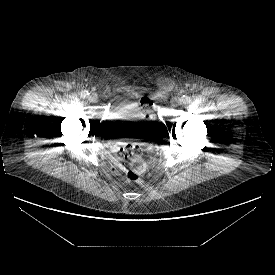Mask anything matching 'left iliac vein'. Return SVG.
Here are the masks:
<instances>
[{
    "instance_id": "1",
    "label": "left iliac vein",
    "mask_w": 275,
    "mask_h": 275,
    "mask_svg": "<svg viewBox=\"0 0 275 275\" xmlns=\"http://www.w3.org/2000/svg\"><path fill=\"white\" fill-rule=\"evenodd\" d=\"M171 104L173 106H178V105L182 104V99L180 97H174L171 100Z\"/></svg>"
}]
</instances>
